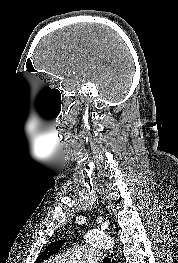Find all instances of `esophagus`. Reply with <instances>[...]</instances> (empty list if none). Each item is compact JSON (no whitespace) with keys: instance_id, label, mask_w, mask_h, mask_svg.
<instances>
[{"instance_id":"esophagus-1","label":"esophagus","mask_w":178,"mask_h":263,"mask_svg":"<svg viewBox=\"0 0 178 263\" xmlns=\"http://www.w3.org/2000/svg\"><path fill=\"white\" fill-rule=\"evenodd\" d=\"M109 255L111 257V263H116V256L113 250L109 251Z\"/></svg>"}]
</instances>
